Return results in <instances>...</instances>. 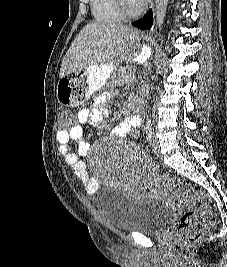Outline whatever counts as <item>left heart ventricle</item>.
I'll use <instances>...</instances> for the list:
<instances>
[{
  "instance_id": "obj_1",
  "label": "left heart ventricle",
  "mask_w": 227,
  "mask_h": 267,
  "mask_svg": "<svg viewBox=\"0 0 227 267\" xmlns=\"http://www.w3.org/2000/svg\"><path fill=\"white\" fill-rule=\"evenodd\" d=\"M126 2L130 8L138 7L133 0H126Z\"/></svg>"
}]
</instances>
